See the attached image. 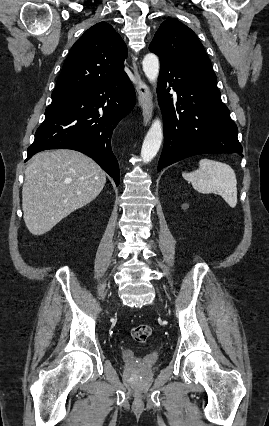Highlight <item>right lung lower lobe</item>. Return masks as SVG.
<instances>
[{
	"mask_svg": "<svg viewBox=\"0 0 269 426\" xmlns=\"http://www.w3.org/2000/svg\"><path fill=\"white\" fill-rule=\"evenodd\" d=\"M135 102L127 74L111 83L73 91L46 109L45 120L28 147L26 161L46 149L80 151L95 160L118 186L119 165L111 148L112 133Z\"/></svg>",
	"mask_w": 269,
	"mask_h": 426,
	"instance_id": "1",
	"label": "right lung lower lobe"
}]
</instances>
